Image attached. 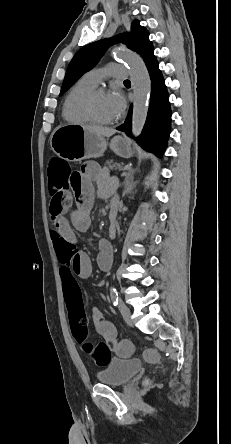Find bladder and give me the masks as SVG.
<instances>
[{
    "mask_svg": "<svg viewBox=\"0 0 231 444\" xmlns=\"http://www.w3.org/2000/svg\"><path fill=\"white\" fill-rule=\"evenodd\" d=\"M141 368V361L114 357L98 372L97 379L103 385L122 386L138 373Z\"/></svg>",
    "mask_w": 231,
    "mask_h": 444,
    "instance_id": "1",
    "label": "bladder"
}]
</instances>
